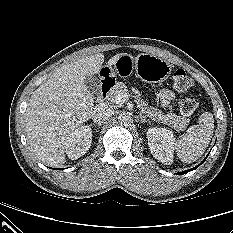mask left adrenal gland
Here are the masks:
<instances>
[{
    "mask_svg": "<svg viewBox=\"0 0 233 233\" xmlns=\"http://www.w3.org/2000/svg\"><path fill=\"white\" fill-rule=\"evenodd\" d=\"M141 122H148L150 123L149 119H146L144 116L140 115Z\"/></svg>",
    "mask_w": 233,
    "mask_h": 233,
    "instance_id": "1",
    "label": "left adrenal gland"
}]
</instances>
